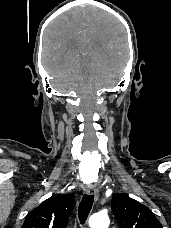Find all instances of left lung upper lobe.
<instances>
[{"instance_id":"obj_1","label":"left lung upper lobe","mask_w":171,"mask_h":228,"mask_svg":"<svg viewBox=\"0 0 171 228\" xmlns=\"http://www.w3.org/2000/svg\"><path fill=\"white\" fill-rule=\"evenodd\" d=\"M111 205L120 228H163L148 207L124 194H116Z\"/></svg>"}]
</instances>
